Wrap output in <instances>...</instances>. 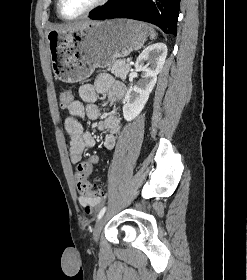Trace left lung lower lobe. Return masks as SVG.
I'll return each mask as SVG.
<instances>
[{
    "instance_id": "obj_1",
    "label": "left lung lower lobe",
    "mask_w": 247,
    "mask_h": 280,
    "mask_svg": "<svg viewBox=\"0 0 247 280\" xmlns=\"http://www.w3.org/2000/svg\"><path fill=\"white\" fill-rule=\"evenodd\" d=\"M181 0H109L91 19L130 18L146 21L176 36Z\"/></svg>"
}]
</instances>
